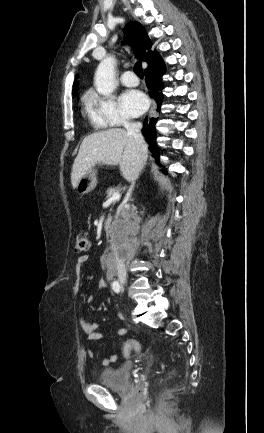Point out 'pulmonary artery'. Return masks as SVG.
<instances>
[{
  "mask_svg": "<svg viewBox=\"0 0 264 433\" xmlns=\"http://www.w3.org/2000/svg\"><path fill=\"white\" fill-rule=\"evenodd\" d=\"M121 83L127 87H134L138 85V78L131 70H126L121 76Z\"/></svg>",
  "mask_w": 264,
  "mask_h": 433,
  "instance_id": "e3ab8cb5",
  "label": "pulmonary artery"
}]
</instances>
